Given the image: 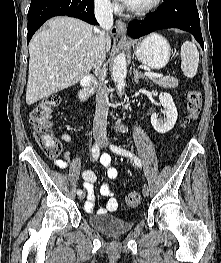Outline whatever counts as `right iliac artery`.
<instances>
[{
	"label": "right iliac artery",
	"mask_w": 221,
	"mask_h": 263,
	"mask_svg": "<svg viewBox=\"0 0 221 263\" xmlns=\"http://www.w3.org/2000/svg\"><path fill=\"white\" fill-rule=\"evenodd\" d=\"M99 155H100L99 145H98V144H95V145L92 147V156H93L94 160H97V159L99 158ZM77 194H78V195L82 194V190H81V189H78V190H77Z\"/></svg>",
	"instance_id": "1"
}]
</instances>
